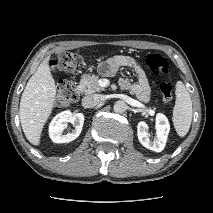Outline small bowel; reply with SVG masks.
<instances>
[{
    "label": "small bowel",
    "instance_id": "1",
    "mask_svg": "<svg viewBox=\"0 0 213 213\" xmlns=\"http://www.w3.org/2000/svg\"><path fill=\"white\" fill-rule=\"evenodd\" d=\"M121 67L133 69L137 82L132 83L127 79H121L119 85L124 90L133 92L140 100L147 101L150 98L151 90L147 76L140 63L129 55H116L108 60L103 66V71L107 75L114 74Z\"/></svg>",
    "mask_w": 213,
    "mask_h": 213
}]
</instances>
